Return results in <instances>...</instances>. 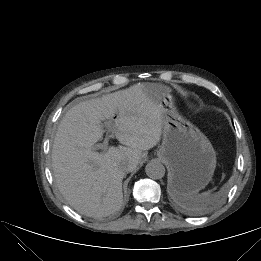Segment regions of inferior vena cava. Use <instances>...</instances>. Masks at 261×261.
<instances>
[{
    "mask_svg": "<svg viewBox=\"0 0 261 261\" xmlns=\"http://www.w3.org/2000/svg\"><path fill=\"white\" fill-rule=\"evenodd\" d=\"M124 169H125V171H130L131 170L130 166H125Z\"/></svg>",
    "mask_w": 261,
    "mask_h": 261,
    "instance_id": "602c4592",
    "label": "inferior vena cava"
}]
</instances>
